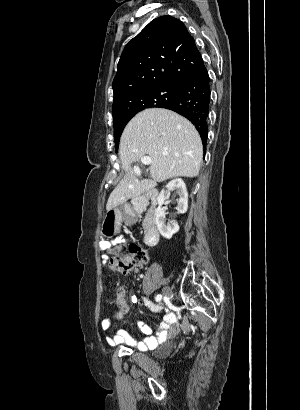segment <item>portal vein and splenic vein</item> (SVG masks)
<instances>
[{"mask_svg":"<svg viewBox=\"0 0 300 410\" xmlns=\"http://www.w3.org/2000/svg\"><path fill=\"white\" fill-rule=\"evenodd\" d=\"M141 162L144 165H149V164H151V158L148 157V156H144V157L141 158ZM134 170H135L136 173H140V169L138 167H134Z\"/></svg>","mask_w":300,"mask_h":410,"instance_id":"obj_1","label":"portal vein and splenic vein"}]
</instances>
